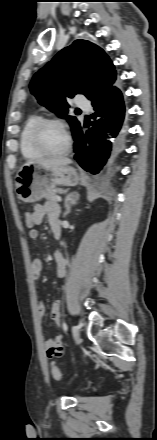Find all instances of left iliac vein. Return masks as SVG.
<instances>
[{"instance_id":"obj_1","label":"left iliac vein","mask_w":157,"mask_h":440,"mask_svg":"<svg viewBox=\"0 0 157 440\" xmlns=\"http://www.w3.org/2000/svg\"><path fill=\"white\" fill-rule=\"evenodd\" d=\"M72 335H73V338H74L76 345L80 344L81 343L80 332H79L78 328L75 326L72 327Z\"/></svg>"}]
</instances>
